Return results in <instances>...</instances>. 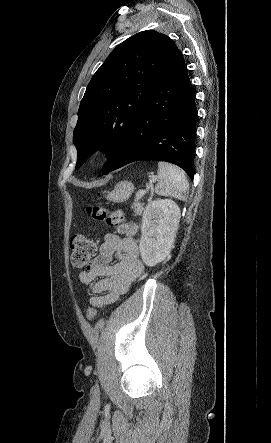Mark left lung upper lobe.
I'll list each match as a JSON object with an SVG mask.
<instances>
[{
	"label": "left lung upper lobe",
	"instance_id": "left-lung-upper-lobe-1",
	"mask_svg": "<svg viewBox=\"0 0 271 443\" xmlns=\"http://www.w3.org/2000/svg\"><path fill=\"white\" fill-rule=\"evenodd\" d=\"M178 50L166 35L139 32L119 44L96 71L87 86L73 132L78 169L95 151L108 153L107 174L120 152L135 119L147 101L155 76Z\"/></svg>",
	"mask_w": 271,
	"mask_h": 443
}]
</instances>
